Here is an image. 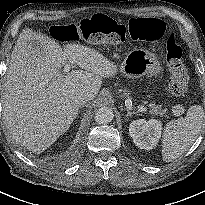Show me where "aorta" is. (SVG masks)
<instances>
[{
    "instance_id": "aorta-1",
    "label": "aorta",
    "mask_w": 205,
    "mask_h": 205,
    "mask_svg": "<svg viewBox=\"0 0 205 205\" xmlns=\"http://www.w3.org/2000/svg\"><path fill=\"white\" fill-rule=\"evenodd\" d=\"M114 114L112 109L108 107H101L95 113V121L98 124H107L113 120Z\"/></svg>"
}]
</instances>
